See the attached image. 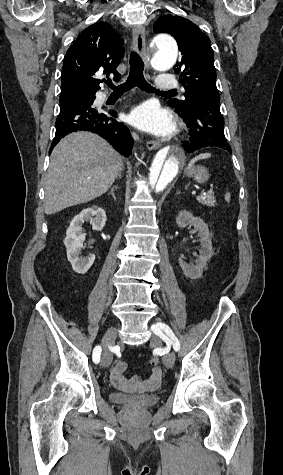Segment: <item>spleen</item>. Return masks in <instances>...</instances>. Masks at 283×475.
<instances>
[{"instance_id":"obj_1","label":"spleen","mask_w":283,"mask_h":475,"mask_svg":"<svg viewBox=\"0 0 283 475\" xmlns=\"http://www.w3.org/2000/svg\"><path fill=\"white\" fill-rule=\"evenodd\" d=\"M211 154H200V156H196V158H193V160H191V162H189V168H191V166H193V164H195V162H197V160H206V158H210ZM230 194L229 192H226L225 196H224V200L225 202H230Z\"/></svg>"}]
</instances>
